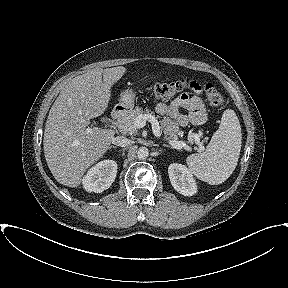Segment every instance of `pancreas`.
<instances>
[{
	"label": "pancreas",
	"instance_id": "pancreas-1",
	"mask_svg": "<svg viewBox=\"0 0 288 288\" xmlns=\"http://www.w3.org/2000/svg\"><path fill=\"white\" fill-rule=\"evenodd\" d=\"M145 113H149V110L144 111L143 109L139 107H136L135 109H132L126 112V114L119 119V124L125 127V129H123L122 131L124 133L134 132V130H128V129L133 126L134 121L137 116L143 115ZM160 125H161L160 126L161 131L165 135L164 137L165 140L169 142L173 140H177L178 135L183 133L182 131L179 130V125L168 117H164L162 120H160ZM196 135L198 137L200 136V134L191 133L189 135V140L192 141L193 139H195Z\"/></svg>",
	"mask_w": 288,
	"mask_h": 288
}]
</instances>
